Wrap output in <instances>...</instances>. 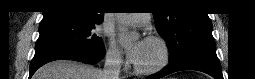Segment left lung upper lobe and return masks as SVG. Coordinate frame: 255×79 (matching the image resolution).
Instances as JSON below:
<instances>
[{"instance_id": "1", "label": "left lung upper lobe", "mask_w": 255, "mask_h": 79, "mask_svg": "<svg viewBox=\"0 0 255 79\" xmlns=\"http://www.w3.org/2000/svg\"><path fill=\"white\" fill-rule=\"evenodd\" d=\"M164 2L170 1H161ZM158 33L167 42L170 62H175L200 47H215L212 23L206 13L157 9L153 12Z\"/></svg>"}]
</instances>
